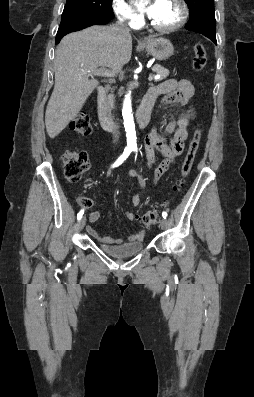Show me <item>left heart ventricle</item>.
<instances>
[{
  "label": "left heart ventricle",
  "instance_id": "obj_1",
  "mask_svg": "<svg viewBox=\"0 0 254 397\" xmlns=\"http://www.w3.org/2000/svg\"><path fill=\"white\" fill-rule=\"evenodd\" d=\"M180 8L173 0H158L151 20L159 26H169L178 21Z\"/></svg>",
  "mask_w": 254,
  "mask_h": 397
}]
</instances>
